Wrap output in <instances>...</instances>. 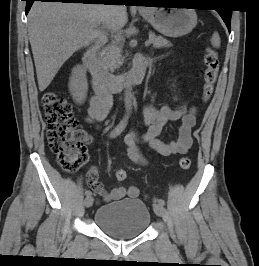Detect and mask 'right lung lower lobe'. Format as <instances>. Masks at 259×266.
Instances as JSON below:
<instances>
[{
    "mask_svg": "<svg viewBox=\"0 0 259 266\" xmlns=\"http://www.w3.org/2000/svg\"><path fill=\"white\" fill-rule=\"evenodd\" d=\"M26 1V10L27 14L31 8V5L34 1L42 2H62V3H84V4H106L109 1H125V0H23ZM126 5V4H125Z\"/></svg>",
    "mask_w": 259,
    "mask_h": 266,
    "instance_id": "98d812e1",
    "label": "right lung lower lobe"
}]
</instances>
